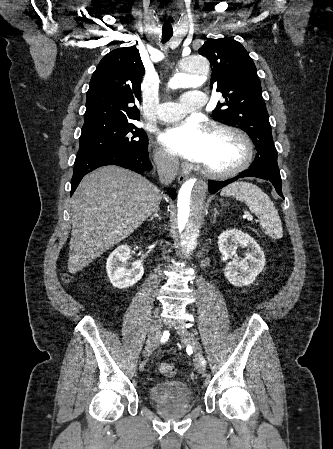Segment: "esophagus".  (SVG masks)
Segmentation results:
<instances>
[{
	"mask_svg": "<svg viewBox=\"0 0 333 449\" xmlns=\"http://www.w3.org/2000/svg\"><path fill=\"white\" fill-rule=\"evenodd\" d=\"M186 180V177L184 175H179L178 182L183 183Z\"/></svg>",
	"mask_w": 333,
	"mask_h": 449,
	"instance_id": "esophagus-1",
	"label": "esophagus"
}]
</instances>
